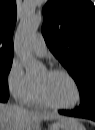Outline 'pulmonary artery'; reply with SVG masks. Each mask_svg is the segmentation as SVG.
<instances>
[{
	"label": "pulmonary artery",
	"instance_id": "e3ab8cb5",
	"mask_svg": "<svg viewBox=\"0 0 95 130\" xmlns=\"http://www.w3.org/2000/svg\"><path fill=\"white\" fill-rule=\"evenodd\" d=\"M31 49L38 56H45L47 54V46L40 33L33 37L31 41Z\"/></svg>",
	"mask_w": 95,
	"mask_h": 130
}]
</instances>
